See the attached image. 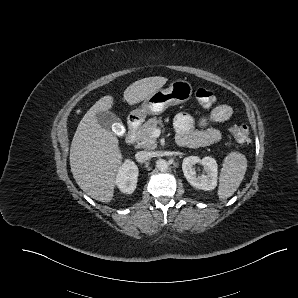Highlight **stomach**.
I'll return each mask as SVG.
<instances>
[{"label":"stomach","mask_w":298,"mask_h":298,"mask_svg":"<svg viewBox=\"0 0 298 298\" xmlns=\"http://www.w3.org/2000/svg\"><path fill=\"white\" fill-rule=\"evenodd\" d=\"M192 94L191 85L184 80H176L167 89L159 88L147 96L139 107L132 111L136 118L144 120L147 115H159L171 105L187 101Z\"/></svg>","instance_id":"1"}]
</instances>
